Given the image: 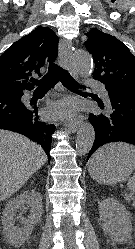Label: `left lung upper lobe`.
I'll list each match as a JSON object with an SVG mask.
<instances>
[{
	"label": "left lung upper lobe",
	"instance_id": "1",
	"mask_svg": "<svg viewBox=\"0 0 135 249\" xmlns=\"http://www.w3.org/2000/svg\"><path fill=\"white\" fill-rule=\"evenodd\" d=\"M86 35L85 47L95 62L94 79L108 92L135 97V56L124 43L97 28Z\"/></svg>",
	"mask_w": 135,
	"mask_h": 249
}]
</instances>
